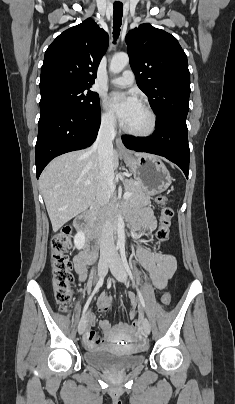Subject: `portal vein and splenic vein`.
I'll return each mask as SVG.
<instances>
[{"instance_id": "obj_1", "label": "portal vein and splenic vein", "mask_w": 235, "mask_h": 404, "mask_svg": "<svg viewBox=\"0 0 235 404\" xmlns=\"http://www.w3.org/2000/svg\"><path fill=\"white\" fill-rule=\"evenodd\" d=\"M86 185H89V182H86L85 183ZM132 196V193H130V192H126V193H124V199H129L130 197Z\"/></svg>"}]
</instances>
